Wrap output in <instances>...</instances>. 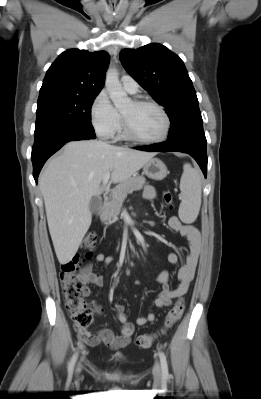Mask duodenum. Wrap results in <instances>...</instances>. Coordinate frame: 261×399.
I'll return each mask as SVG.
<instances>
[{
    "mask_svg": "<svg viewBox=\"0 0 261 399\" xmlns=\"http://www.w3.org/2000/svg\"><path fill=\"white\" fill-rule=\"evenodd\" d=\"M109 203V195L106 194L103 197V206H106Z\"/></svg>",
    "mask_w": 261,
    "mask_h": 399,
    "instance_id": "obj_1",
    "label": "duodenum"
}]
</instances>
